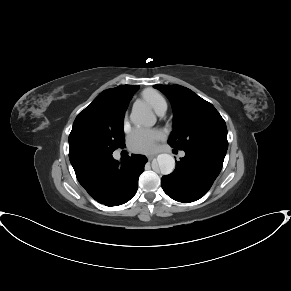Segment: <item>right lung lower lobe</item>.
I'll return each instance as SVG.
<instances>
[{
  "label": "right lung lower lobe",
  "mask_w": 291,
  "mask_h": 291,
  "mask_svg": "<svg viewBox=\"0 0 291 291\" xmlns=\"http://www.w3.org/2000/svg\"><path fill=\"white\" fill-rule=\"evenodd\" d=\"M69 159L79 183L106 206L124 204L135 195L147 162L145 156L133 154L119 163L112 153L93 150L71 151Z\"/></svg>",
  "instance_id": "98d812e1"
}]
</instances>
